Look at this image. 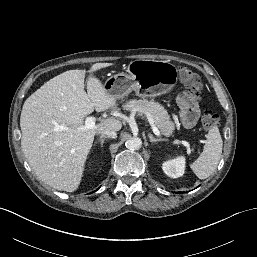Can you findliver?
I'll list each match as a JSON object with an SVG mask.
<instances>
[{
  "mask_svg": "<svg viewBox=\"0 0 257 257\" xmlns=\"http://www.w3.org/2000/svg\"><path fill=\"white\" fill-rule=\"evenodd\" d=\"M111 63L92 65L87 93L85 70H69L44 83L24 102L20 127L21 148L34 173L59 191L74 192L81 183L94 136L101 131H119L121 121L109 118L93 129L84 128V118L94 109H114L117 98L108 94L93 73ZM65 129L56 130V126Z\"/></svg>",
  "mask_w": 257,
  "mask_h": 257,
  "instance_id": "liver-1",
  "label": "liver"
}]
</instances>
